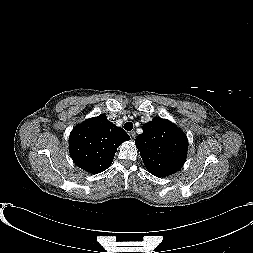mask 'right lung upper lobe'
<instances>
[{
  "mask_svg": "<svg viewBox=\"0 0 253 253\" xmlns=\"http://www.w3.org/2000/svg\"><path fill=\"white\" fill-rule=\"evenodd\" d=\"M129 139L122 128L101 114L72 130L69 137L70 156L78 167L97 174L111 165L119 145Z\"/></svg>",
  "mask_w": 253,
  "mask_h": 253,
  "instance_id": "obj_1",
  "label": "right lung upper lobe"
}]
</instances>
